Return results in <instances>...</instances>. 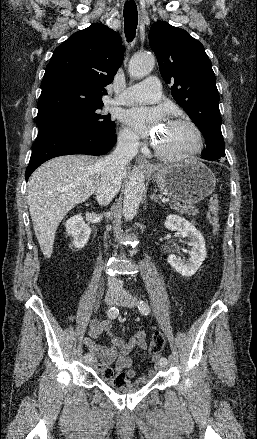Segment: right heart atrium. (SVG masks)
Segmentation results:
<instances>
[{
    "mask_svg": "<svg viewBox=\"0 0 257 439\" xmlns=\"http://www.w3.org/2000/svg\"><path fill=\"white\" fill-rule=\"evenodd\" d=\"M118 144L127 154H133L138 148V139L128 128H122L118 134Z\"/></svg>",
    "mask_w": 257,
    "mask_h": 439,
    "instance_id": "obj_1",
    "label": "right heart atrium"
}]
</instances>
